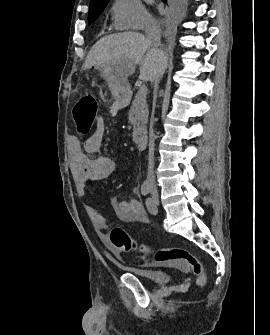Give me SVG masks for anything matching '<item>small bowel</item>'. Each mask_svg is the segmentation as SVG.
I'll use <instances>...</instances> for the list:
<instances>
[{
    "label": "small bowel",
    "mask_w": 270,
    "mask_h": 335,
    "mask_svg": "<svg viewBox=\"0 0 270 335\" xmlns=\"http://www.w3.org/2000/svg\"><path fill=\"white\" fill-rule=\"evenodd\" d=\"M105 134V122L98 117L93 133L81 145L80 141L71 136L69 146V167L76 192L79 196L86 195V185L90 182L107 179L116 168L117 163L106 156L99 155ZM133 193H139L138 187L132 189ZM116 217L125 223H147L148 216L143 205L136 199H120L113 196L110 199ZM95 228L102 234L110 227V222L105 215L92 207L86 205Z\"/></svg>",
    "instance_id": "obj_1"
}]
</instances>
